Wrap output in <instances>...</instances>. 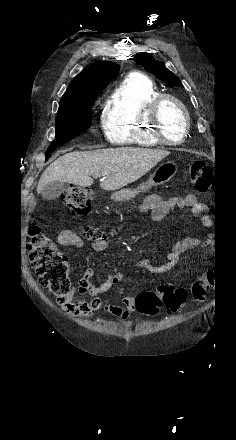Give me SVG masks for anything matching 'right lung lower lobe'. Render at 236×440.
Here are the masks:
<instances>
[{
  "instance_id": "98d812e1",
  "label": "right lung lower lobe",
  "mask_w": 236,
  "mask_h": 440,
  "mask_svg": "<svg viewBox=\"0 0 236 440\" xmlns=\"http://www.w3.org/2000/svg\"><path fill=\"white\" fill-rule=\"evenodd\" d=\"M54 150H55V148H54V149H48V150L46 151V161L49 159L51 153H52Z\"/></svg>"
}]
</instances>
